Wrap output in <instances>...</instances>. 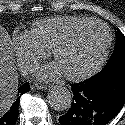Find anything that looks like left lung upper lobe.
I'll return each instance as SVG.
<instances>
[{
	"instance_id": "5c2ea615",
	"label": "left lung upper lobe",
	"mask_w": 125,
	"mask_h": 125,
	"mask_svg": "<svg viewBox=\"0 0 125 125\" xmlns=\"http://www.w3.org/2000/svg\"><path fill=\"white\" fill-rule=\"evenodd\" d=\"M115 50L112 53L105 67L92 78H98L110 71L125 67V36L117 32Z\"/></svg>"
}]
</instances>
